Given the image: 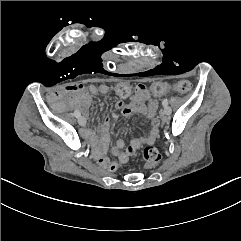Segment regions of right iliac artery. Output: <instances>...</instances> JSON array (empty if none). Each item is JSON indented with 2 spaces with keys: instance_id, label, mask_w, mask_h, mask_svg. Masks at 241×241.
Listing matches in <instances>:
<instances>
[{
  "instance_id": "obj_1",
  "label": "right iliac artery",
  "mask_w": 241,
  "mask_h": 241,
  "mask_svg": "<svg viewBox=\"0 0 241 241\" xmlns=\"http://www.w3.org/2000/svg\"><path fill=\"white\" fill-rule=\"evenodd\" d=\"M74 115H75V117H77V118H78V117H80V115H81V114H80V112H79V111L75 110V111H74Z\"/></svg>"
}]
</instances>
